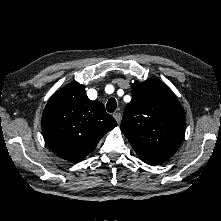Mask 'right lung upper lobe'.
<instances>
[{
    "label": "right lung upper lobe",
    "mask_w": 221,
    "mask_h": 221,
    "mask_svg": "<svg viewBox=\"0 0 221 221\" xmlns=\"http://www.w3.org/2000/svg\"><path fill=\"white\" fill-rule=\"evenodd\" d=\"M117 126L99 101L88 99L85 86L71 83L48 101L42 115V130L49 148L71 162L83 160L100 139Z\"/></svg>",
    "instance_id": "cb5924a9"
}]
</instances>
